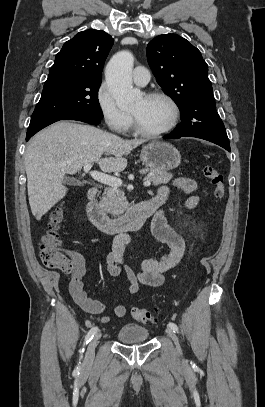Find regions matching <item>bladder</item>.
<instances>
[{"label": "bladder", "mask_w": 265, "mask_h": 407, "mask_svg": "<svg viewBox=\"0 0 265 407\" xmlns=\"http://www.w3.org/2000/svg\"><path fill=\"white\" fill-rule=\"evenodd\" d=\"M149 330L145 327L133 323L124 324L117 333V339L120 343L136 344L147 341Z\"/></svg>", "instance_id": "obj_1"}]
</instances>
